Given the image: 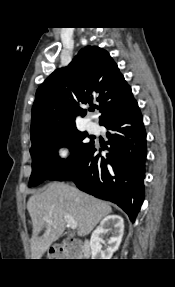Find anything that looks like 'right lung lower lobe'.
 Listing matches in <instances>:
<instances>
[{
    "label": "right lung lower lobe",
    "mask_w": 175,
    "mask_h": 287,
    "mask_svg": "<svg viewBox=\"0 0 175 287\" xmlns=\"http://www.w3.org/2000/svg\"><path fill=\"white\" fill-rule=\"evenodd\" d=\"M100 125L109 130L106 158L93 144L81 164L57 180H73L80 190L116 203L134 222L144 199L146 159V133L136 100L105 116Z\"/></svg>",
    "instance_id": "1"
}]
</instances>
